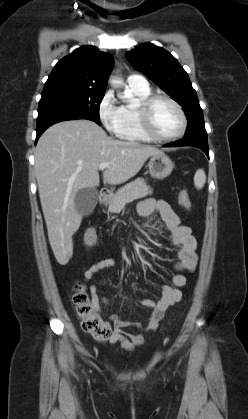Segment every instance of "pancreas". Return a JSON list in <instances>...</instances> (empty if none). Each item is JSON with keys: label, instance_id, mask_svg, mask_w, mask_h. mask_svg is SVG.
<instances>
[{"label": "pancreas", "instance_id": "obj_1", "mask_svg": "<svg viewBox=\"0 0 248 419\" xmlns=\"http://www.w3.org/2000/svg\"><path fill=\"white\" fill-rule=\"evenodd\" d=\"M152 194V189L143 178H137L118 189L109 206L110 213H119L124 206L138 198Z\"/></svg>", "mask_w": 248, "mask_h": 419}]
</instances>
